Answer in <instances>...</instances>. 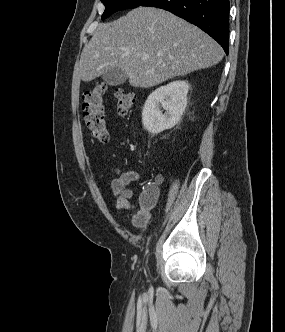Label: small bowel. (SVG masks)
<instances>
[{
	"label": "small bowel",
	"mask_w": 285,
	"mask_h": 332,
	"mask_svg": "<svg viewBox=\"0 0 285 332\" xmlns=\"http://www.w3.org/2000/svg\"><path fill=\"white\" fill-rule=\"evenodd\" d=\"M140 180V174L137 171L124 172L118 178L111 181V191L115 199V208L119 211L137 209L133 217L136 226H145L150 219V211L155 206L159 194L160 186L164 182L162 174L155 175L153 181L146 184L139 195L138 203L133 204L134 193L130 186Z\"/></svg>",
	"instance_id": "obj_1"
}]
</instances>
